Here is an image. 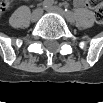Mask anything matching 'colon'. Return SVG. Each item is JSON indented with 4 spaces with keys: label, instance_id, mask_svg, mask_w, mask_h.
<instances>
[{
    "label": "colon",
    "instance_id": "1",
    "mask_svg": "<svg viewBox=\"0 0 103 103\" xmlns=\"http://www.w3.org/2000/svg\"><path fill=\"white\" fill-rule=\"evenodd\" d=\"M87 5L93 9H95L96 11V21L98 23H102L103 22V6L101 3L99 2H95V1H88ZM10 6V2L9 1H3L1 3V9L2 11H5L9 8Z\"/></svg>",
    "mask_w": 103,
    "mask_h": 103
}]
</instances>
